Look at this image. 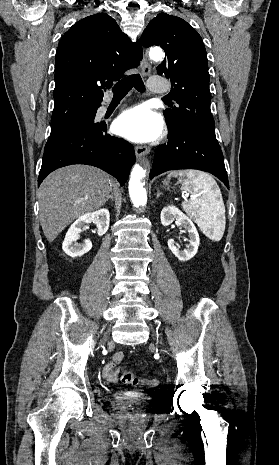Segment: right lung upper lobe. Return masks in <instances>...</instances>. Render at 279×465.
I'll return each mask as SVG.
<instances>
[{
	"label": "right lung upper lobe",
	"mask_w": 279,
	"mask_h": 465,
	"mask_svg": "<svg viewBox=\"0 0 279 465\" xmlns=\"http://www.w3.org/2000/svg\"><path fill=\"white\" fill-rule=\"evenodd\" d=\"M141 60L140 43L130 42L109 15L98 13L75 23L57 48L51 126L99 106L102 90Z\"/></svg>",
	"instance_id": "obj_1"
}]
</instances>
